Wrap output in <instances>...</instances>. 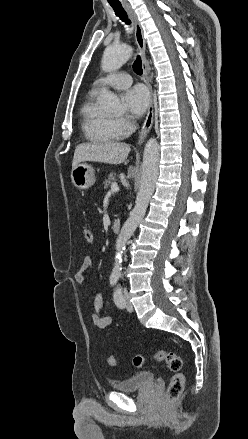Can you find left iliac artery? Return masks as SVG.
<instances>
[{
  "label": "left iliac artery",
  "mask_w": 248,
  "mask_h": 439,
  "mask_svg": "<svg viewBox=\"0 0 248 439\" xmlns=\"http://www.w3.org/2000/svg\"><path fill=\"white\" fill-rule=\"evenodd\" d=\"M114 302L119 308H124L122 288L117 287L114 291Z\"/></svg>",
  "instance_id": "left-iliac-artery-1"
}]
</instances>
